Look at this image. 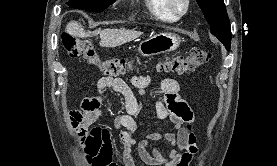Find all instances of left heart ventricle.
I'll return each mask as SVG.
<instances>
[{"label":"left heart ventricle","mask_w":277,"mask_h":166,"mask_svg":"<svg viewBox=\"0 0 277 166\" xmlns=\"http://www.w3.org/2000/svg\"><path fill=\"white\" fill-rule=\"evenodd\" d=\"M174 5L177 9H182L184 6L183 0H174Z\"/></svg>","instance_id":"b2bd125f"}]
</instances>
